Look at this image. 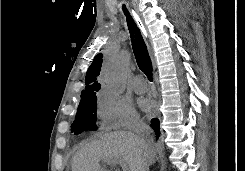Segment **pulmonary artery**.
I'll use <instances>...</instances> for the list:
<instances>
[{"mask_svg":"<svg viewBox=\"0 0 245 171\" xmlns=\"http://www.w3.org/2000/svg\"><path fill=\"white\" fill-rule=\"evenodd\" d=\"M133 89L138 94H142L147 91V84L141 76L135 77L133 81Z\"/></svg>","mask_w":245,"mask_h":171,"instance_id":"obj_1","label":"pulmonary artery"}]
</instances>
